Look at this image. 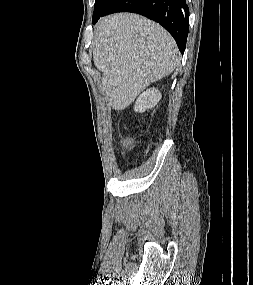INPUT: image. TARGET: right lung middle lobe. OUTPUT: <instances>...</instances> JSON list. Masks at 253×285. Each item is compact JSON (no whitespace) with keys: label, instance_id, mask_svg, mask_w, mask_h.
Masks as SVG:
<instances>
[{"label":"right lung middle lobe","instance_id":"right-lung-middle-lobe-1","mask_svg":"<svg viewBox=\"0 0 253 285\" xmlns=\"http://www.w3.org/2000/svg\"><path fill=\"white\" fill-rule=\"evenodd\" d=\"M113 0H96L93 12V19L100 16Z\"/></svg>","mask_w":253,"mask_h":285}]
</instances>
